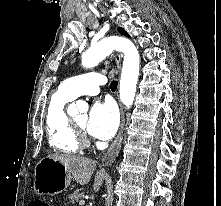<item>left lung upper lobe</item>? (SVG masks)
Wrapping results in <instances>:
<instances>
[{"label": "left lung upper lobe", "instance_id": "5c2ea615", "mask_svg": "<svg viewBox=\"0 0 221 206\" xmlns=\"http://www.w3.org/2000/svg\"><path fill=\"white\" fill-rule=\"evenodd\" d=\"M118 30H119V32H120L121 34H124V35H126V36H129V35L127 34V32L124 31L123 28H119Z\"/></svg>", "mask_w": 221, "mask_h": 206}]
</instances>
